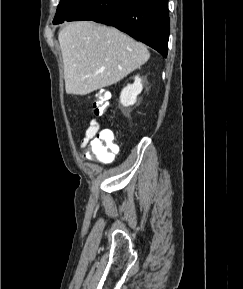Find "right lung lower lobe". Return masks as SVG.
I'll list each match as a JSON object with an SVG mask.
<instances>
[{
	"instance_id": "98d812e1",
	"label": "right lung lower lobe",
	"mask_w": 243,
	"mask_h": 289,
	"mask_svg": "<svg viewBox=\"0 0 243 289\" xmlns=\"http://www.w3.org/2000/svg\"><path fill=\"white\" fill-rule=\"evenodd\" d=\"M75 20L114 26L167 56L168 0H83L66 19Z\"/></svg>"
}]
</instances>
